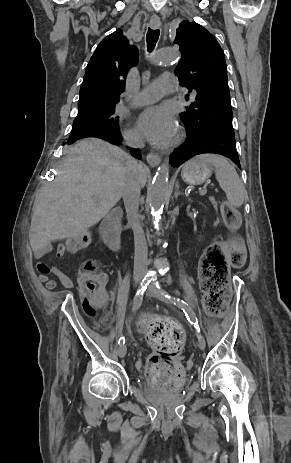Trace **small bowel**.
<instances>
[{
	"label": "small bowel",
	"mask_w": 291,
	"mask_h": 463,
	"mask_svg": "<svg viewBox=\"0 0 291 463\" xmlns=\"http://www.w3.org/2000/svg\"><path fill=\"white\" fill-rule=\"evenodd\" d=\"M49 251V247L45 245L41 246H36L34 249L35 252V257L40 258L42 257L45 253ZM65 254V246L63 244H59L56 249V255L57 257L61 258ZM40 265H43L45 267L44 270H41L39 268ZM37 269L40 272L39 275V280L43 282L48 290H53L56 288V281L51 279L49 277L50 274L56 276L60 283L67 289H72L74 287V279L69 276L68 274L64 273L58 266L56 265H51L47 266L44 263H38L37 264ZM107 276L102 275L101 276V282L102 284H105L107 282ZM91 317H96L95 314H88Z\"/></svg>",
	"instance_id": "c3829d8e"
}]
</instances>
